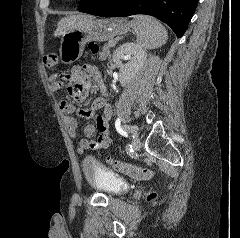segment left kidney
<instances>
[{
  "label": "left kidney",
  "mask_w": 240,
  "mask_h": 238,
  "mask_svg": "<svg viewBox=\"0 0 240 238\" xmlns=\"http://www.w3.org/2000/svg\"><path fill=\"white\" fill-rule=\"evenodd\" d=\"M122 60L126 61L125 64ZM146 60V53L138 43L127 42L120 45L113 53V62L119 68V82L126 85L137 73Z\"/></svg>",
  "instance_id": "left-kidney-1"
}]
</instances>
